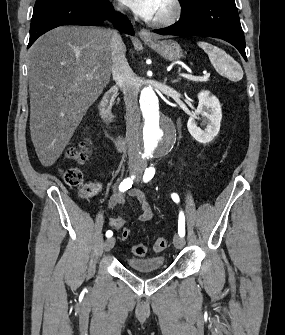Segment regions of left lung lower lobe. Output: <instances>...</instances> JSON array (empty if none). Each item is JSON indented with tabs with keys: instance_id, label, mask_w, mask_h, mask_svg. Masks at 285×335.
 Instances as JSON below:
<instances>
[{
	"instance_id": "1",
	"label": "left lung lower lobe",
	"mask_w": 285,
	"mask_h": 335,
	"mask_svg": "<svg viewBox=\"0 0 285 335\" xmlns=\"http://www.w3.org/2000/svg\"><path fill=\"white\" fill-rule=\"evenodd\" d=\"M181 7L182 15L178 22L155 32L223 39L235 46L247 61L244 33L234 0H194L181 4Z\"/></svg>"
}]
</instances>
